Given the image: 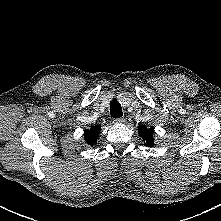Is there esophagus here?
<instances>
[{
  "label": "esophagus",
  "mask_w": 221,
  "mask_h": 221,
  "mask_svg": "<svg viewBox=\"0 0 221 221\" xmlns=\"http://www.w3.org/2000/svg\"><path fill=\"white\" fill-rule=\"evenodd\" d=\"M114 122H115V123H122V122H124V118H123V117H121V118H115V119H114Z\"/></svg>",
  "instance_id": "1"
}]
</instances>
